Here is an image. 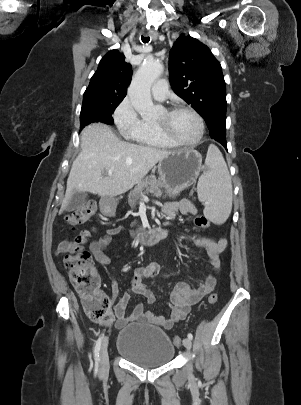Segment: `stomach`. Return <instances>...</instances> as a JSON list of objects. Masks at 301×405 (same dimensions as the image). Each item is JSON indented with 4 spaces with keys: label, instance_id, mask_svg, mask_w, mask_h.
<instances>
[{
    "label": "stomach",
    "instance_id": "1",
    "mask_svg": "<svg viewBox=\"0 0 301 405\" xmlns=\"http://www.w3.org/2000/svg\"><path fill=\"white\" fill-rule=\"evenodd\" d=\"M201 169L202 156L191 148L170 152L158 163L159 180L170 197L192 186Z\"/></svg>",
    "mask_w": 301,
    "mask_h": 405
}]
</instances>
